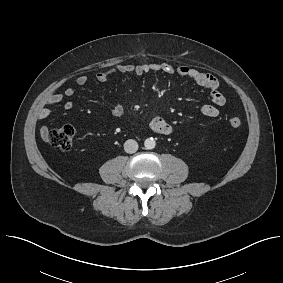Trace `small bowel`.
Listing matches in <instances>:
<instances>
[{"instance_id":"c3829d8e","label":"small bowel","mask_w":283,"mask_h":283,"mask_svg":"<svg viewBox=\"0 0 283 283\" xmlns=\"http://www.w3.org/2000/svg\"><path fill=\"white\" fill-rule=\"evenodd\" d=\"M157 72L167 75H176L180 78L187 79L194 84L208 90L210 92L211 100L213 104H205L200 108V113L208 118H215L219 115V107L226 104L225 95L220 92V83L217 77L211 73H205L198 71L194 68L186 65L173 66L168 63H148V64H122L117 67L99 72L96 78L99 82H105L110 76L114 74H136L142 75L146 73ZM88 81L87 76L80 75L76 79V84L84 86ZM75 94V88L73 86H67L63 93L51 94L44 106L39 110V120H45L48 118L51 112V108L58 104H63V107L67 110L73 108L74 103L70 100H65L66 97H71ZM112 113L116 117H122L124 115V108L120 103L114 105ZM150 127L153 131L163 134L170 135L174 132V127L160 116H155L150 120ZM41 135L46 137L48 133L47 127L43 126L40 129Z\"/></svg>"}]
</instances>
